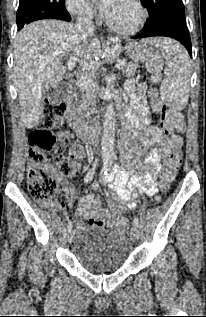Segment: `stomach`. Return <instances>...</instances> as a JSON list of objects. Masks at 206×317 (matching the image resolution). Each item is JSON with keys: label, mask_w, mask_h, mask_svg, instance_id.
I'll list each match as a JSON object with an SVG mask.
<instances>
[{"label": "stomach", "mask_w": 206, "mask_h": 317, "mask_svg": "<svg viewBox=\"0 0 206 317\" xmlns=\"http://www.w3.org/2000/svg\"><path fill=\"white\" fill-rule=\"evenodd\" d=\"M126 53L130 58V61L135 62V66H141V62L148 61L153 57V49L146 44L142 43H128L125 46ZM86 66H95V59H86ZM83 73H88V68H83Z\"/></svg>", "instance_id": "1"}]
</instances>
